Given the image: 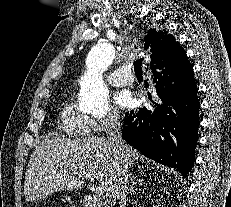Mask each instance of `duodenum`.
<instances>
[{
  "mask_svg": "<svg viewBox=\"0 0 231 207\" xmlns=\"http://www.w3.org/2000/svg\"><path fill=\"white\" fill-rule=\"evenodd\" d=\"M83 207H100L96 199L90 195H84L82 198Z\"/></svg>",
  "mask_w": 231,
  "mask_h": 207,
  "instance_id": "1",
  "label": "duodenum"
}]
</instances>
